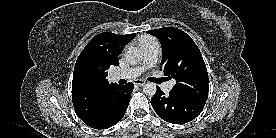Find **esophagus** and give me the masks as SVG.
Returning a JSON list of instances; mask_svg holds the SVG:
<instances>
[{"mask_svg": "<svg viewBox=\"0 0 276 138\" xmlns=\"http://www.w3.org/2000/svg\"><path fill=\"white\" fill-rule=\"evenodd\" d=\"M145 83H146V81L143 80V79H136V80L134 81V84H135V85H138V86H143Z\"/></svg>", "mask_w": 276, "mask_h": 138, "instance_id": "34e87169", "label": "esophagus"}]
</instances>
